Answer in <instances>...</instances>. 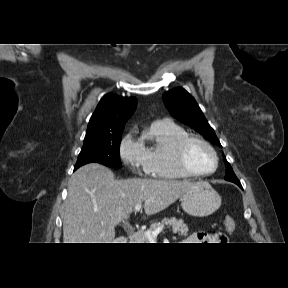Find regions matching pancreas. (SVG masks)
<instances>
[{
  "label": "pancreas",
  "instance_id": "1",
  "mask_svg": "<svg viewBox=\"0 0 288 288\" xmlns=\"http://www.w3.org/2000/svg\"><path fill=\"white\" fill-rule=\"evenodd\" d=\"M163 225H170L172 226V231L173 233H178L180 236H187L188 232V227L187 225L183 222L182 219H176L175 217L172 218H164L161 220V222H153L148 231L152 232L156 230L158 227L163 226ZM134 243H147L148 238L145 235V232L143 231H138L134 234L133 236Z\"/></svg>",
  "mask_w": 288,
  "mask_h": 288
}]
</instances>
